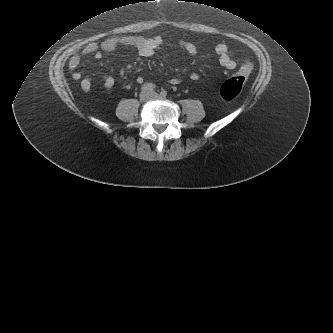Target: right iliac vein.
<instances>
[{
	"label": "right iliac vein",
	"mask_w": 333,
	"mask_h": 333,
	"mask_svg": "<svg viewBox=\"0 0 333 333\" xmlns=\"http://www.w3.org/2000/svg\"><path fill=\"white\" fill-rule=\"evenodd\" d=\"M152 98V93L150 91H142L140 94V99L144 102L149 101Z\"/></svg>",
	"instance_id": "obj_1"
}]
</instances>
